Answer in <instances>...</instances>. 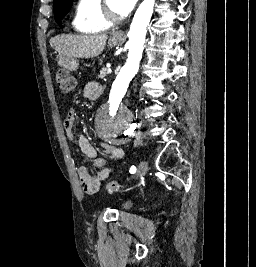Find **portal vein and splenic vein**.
<instances>
[{"label":"portal vein and splenic vein","instance_id":"portal-vein-and-splenic-vein-1","mask_svg":"<svg viewBox=\"0 0 256 267\" xmlns=\"http://www.w3.org/2000/svg\"><path fill=\"white\" fill-rule=\"evenodd\" d=\"M106 73L107 74H111L112 73V68H107Z\"/></svg>","mask_w":256,"mask_h":267}]
</instances>
